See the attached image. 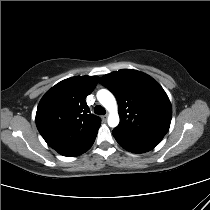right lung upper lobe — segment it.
I'll list each match as a JSON object with an SVG mask.
<instances>
[{"mask_svg": "<svg viewBox=\"0 0 210 210\" xmlns=\"http://www.w3.org/2000/svg\"><path fill=\"white\" fill-rule=\"evenodd\" d=\"M98 79L96 76L65 79L52 87L38 105L35 118L38 131L63 156H78L96 138L101 119L88 114L85 98Z\"/></svg>", "mask_w": 210, "mask_h": 210, "instance_id": "obj_1", "label": "right lung upper lobe"}]
</instances>
